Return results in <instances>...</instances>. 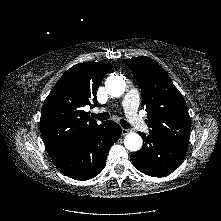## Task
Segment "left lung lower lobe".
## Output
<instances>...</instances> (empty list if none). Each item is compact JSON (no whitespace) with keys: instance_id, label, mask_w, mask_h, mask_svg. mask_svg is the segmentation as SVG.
I'll return each mask as SVG.
<instances>
[{"instance_id":"0a47b994","label":"left lung lower lobe","mask_w":221,"mask_h":221,"mask_svg":"<svg viewBox=\"0 0 221 221\" xmlns=\"http://www.w3.org/2000/svg\"><path fill=\"white\" fill-rule=\"evenodd\" d=\"M143 138L142 149L131 154L132 163L142 173L163 177L172 173L182 162L187 144L171 141L156 135L139 132Z\"/></svg>"}]
</instances>
